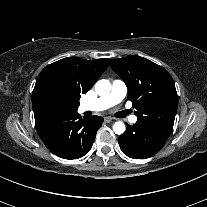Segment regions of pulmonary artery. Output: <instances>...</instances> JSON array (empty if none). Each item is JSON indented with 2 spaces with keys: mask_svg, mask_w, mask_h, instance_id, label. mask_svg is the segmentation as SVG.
<instances>
[{
  "mask_svg": "<svg viewBox=\"0 0 207 207\" xmlns=\"http://www.w3.org/2000/svg\"><path fill=\"white\" fill-rule=\"evenodd\" d=\"M126 90L127 88L124 81L120 79H115L112 82L111 92L108 95L81 104L78 108V111L80 113H83L86 111L99 112V111L106 110L116 104H119L124 99L126 95ZM124 113L126 114L127 111L124 110ZM128 120L131 123H136L137 116L135 115L129 116Z\"/></svg>",
  "mask_w": 207,
  "mask_h": 207,
  "instance_id": "obj_1",
  "label": "pulmonary artery"
}]
</instances>
